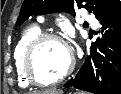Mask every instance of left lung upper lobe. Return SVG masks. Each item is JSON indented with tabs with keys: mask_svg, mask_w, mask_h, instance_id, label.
Segmentation results:
<instances>
[{
	"mask_svg": "<svg viewBox=\"0 0 121 94\" xmlns=\"http://www.w3.org/2000/svg\"><path fill=\"white\" fill-rule=\"evenodd\" d=\"M74 8H85L101 21L121 8L119 0H24L16 26L33 14L67 12L75 15Z\"/></svg>",
	"mask_w": 121,
	"mask_h": 94,
	"instance_id": "5c2ea615",
	"label": "left lung upper lobe"
}]
</instances>
